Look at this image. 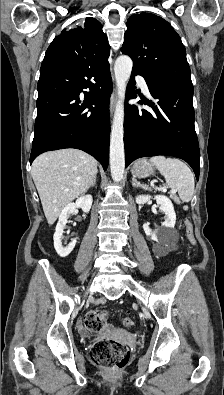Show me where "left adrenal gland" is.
Here are the masks:
<instances>
[{"label": "left adrenal gland", "mask_w": 224, "mask_h": 395, "mask_svg": "<svg viewBox=\"0 0 224 395\" xmlns=\"http://www.w3.org/2000/svg\"><path fill=\"white\" fill-rule=\"evenodd\" d=\"M132 186L133 187H142L143 189H149L150 188L144 184H141L140 182L137 181V179L135 177L132 178Z\"/></svg>", "instance_id": "a2214340"}]
</instances>
